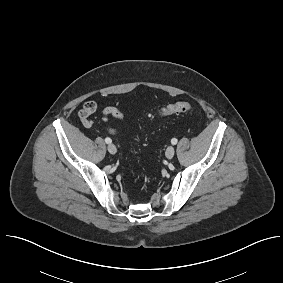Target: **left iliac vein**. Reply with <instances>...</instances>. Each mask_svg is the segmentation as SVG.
<instances>
[{"label": "left iliac vein", "instance_id": "1", "mask_svg": "<svg viewBox=\"0 0 283 283\" xmlns=\"http://www.w3.org/2000/svg\"><path fill=\"white\" fill-rule=\"evenodd\" d=\"M175 154V148L173 146H169L166 149L165 155L167 159H172Z\"/></svg>", "mask_w": 283, "mask_h": 283}]
</instances>
